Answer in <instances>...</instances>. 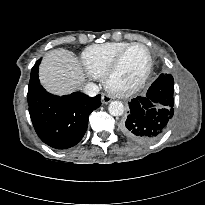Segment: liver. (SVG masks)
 I'll use <instances>...</instances> for the list:
<instances>
[{
    "label": "liver",
    "mask_w": 205,
    "mask_h": 205,
    "mask_svg": "<svg viewBox=\"0 0 205 205\" xmlns=\"http://www.w3.org/2000/svg\"><path fill=\"white\" fill-rule=\"evenodd\" d=\"M39 78L47 91L64 95L81 87L84 73L72 52L55 49L43 58L39 68Z\"/></svg>",
    "instance_id": "6515ba94"
}]
</instances>
